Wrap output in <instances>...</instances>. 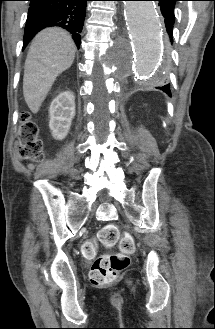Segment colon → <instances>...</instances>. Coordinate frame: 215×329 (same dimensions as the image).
<instances>
[{
    "label": "colon",
    "instance_id": "5ec220e1",
    "mask_svg": "<svg viewBox=\"0 0 215 329\" xmlns=\"http://www.w3.org/2000/svg\"><path fill=\"white\" fill-rule=\"evenodd\" d=\"M18 154L22 159L40 162L44 159L43 144L38 138V127L27 115L23 116L19 132ZM100 242L106 247H112L119 241L120 253L102 254L96 258L91 270L90 280L95 286L111 284L117 278L119 272L130 264V255L134 252L135 242L131 235L120 238L118 228L109 224L103 227L98 234ZM95 246L92 242H86L82 246L84 256H92Z\"/></svg>",
    "mask_w": 215,
    "mask_h": 329
}]
</instances>
